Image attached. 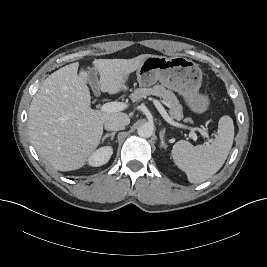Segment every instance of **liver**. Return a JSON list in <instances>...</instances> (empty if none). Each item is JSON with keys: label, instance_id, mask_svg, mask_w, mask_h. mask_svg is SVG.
<instances>
[{"label": "liver", "instance_id": "obj_1", "mask_svg": "<svg viewBox=\"0 0 267 267\" xmlns=\"http://www.w3.org/2000/svg\"><path fill=\"white\" fill-rule=\"evenodd\" d=\"M147 55L132 59H97L102 92L117 94L126 88L127 77ZM79 63L66 65L48 76L33 97L28 113V132L38 154L58 171L85 165L98 147L103 125L111 118L130 119L122 112L91 109L86 74L78 75Z\"/></svg>", "mask_w": 267, "mask_h": 267}]
</instances>
